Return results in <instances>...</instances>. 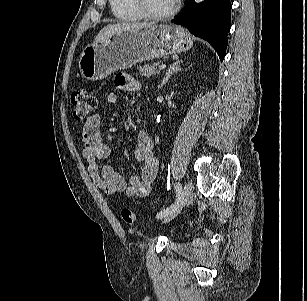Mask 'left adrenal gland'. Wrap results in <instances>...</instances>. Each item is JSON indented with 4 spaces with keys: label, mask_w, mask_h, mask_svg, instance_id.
Instances as JSON below:
<instances>
[{
    "label": "left adrenal gland",
    "mask_w": 307,
    "mask_h": 301,
    "mask_svg": "<svg viewBox=\"0 0 307 301\" xmlns=\"http://www.w3.org/2000/svg\"><path fill=\"white\" fill-rule=\"evenodd\" d=\"M180 63H182V60H178L176 62H174L166 71L165 76L160 84V88L163 87V85H165L167 83V81L169 80L170 76L174 73H177L178 71L181 70L180 67Z\"/></svg>",
    "instance_id": "left-adrenal-gland-1"
}]
</instances>
